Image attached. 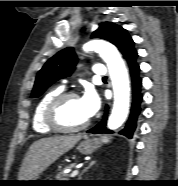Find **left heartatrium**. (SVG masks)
I'll list each match as a JSON object with an SVG mask.
<instances>
[{
  "label": "left heart atrium",
  "instance_id": "39dd6f15",
  "mask_svg": "<svg viewBox=\"0 0 178 186\" xmlns=\"http://www.w3.org/2000/svg\"><path fill=\"white\" fill-rule=\"evenodd\" d=\"M84 112L88 118L94 116L100 108V98L91 88L87 89L80 98Z\"/></svg>",
  "mask_w": 178,
  "mask_h": 186
}]
</instances>
